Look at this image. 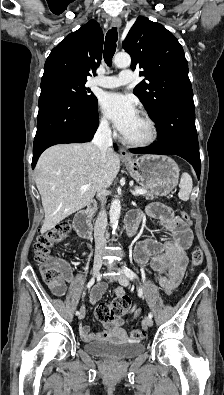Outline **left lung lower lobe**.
Masks as SVG:
<instances>
[{
	"label": "left lung lower lobe",
	"mask_w": 224,
	"mask_h": 395,
	"mask_svg": "<svg viewBox=\"0 0 224 395\" xmlns=\"http://www.w3.org/2000/svg\"><path fill=\"white\" fill-rule=\"evenodd\" d=\"M154 121L159 135L158 141L152 146L130 151L140 154L178 155L194 167L199 179L201 161L194 102H178L166 106Z\"/></svg>",
	"instance_id": "left-lung-lower-lobe-1"
}]
</instances>
